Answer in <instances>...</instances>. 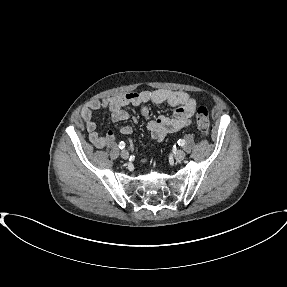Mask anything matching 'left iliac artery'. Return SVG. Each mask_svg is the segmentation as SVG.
<instances>
[{"instance_id": "44dca946", "label": "left iliac artery", "mask_w": 287, "mask_h": 287, "mask_svg": "<svg viewBox=\"0 0 287 287\" xmlns=\"http://www.w3.org/2000/svg\"><path fill=\"white\" fill-rule=\"evenodd\" d=\"M177 143H178V145H180V146H184V145H185V140L179 139Z\"/></svg>"}]
</instances>
